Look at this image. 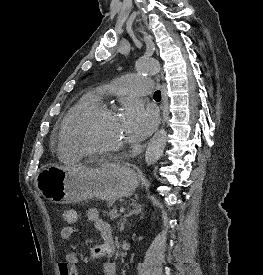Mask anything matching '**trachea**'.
Wrapping results in <instances>:
<instances>
[{"label": "trachea", "instance_id": "obj_1", "mask_svg": "<svg viewBox=\"0 0 263 275\" xmlns=\"http://www.w3.org/2000/svg\"><path fill=\"white\" fill-rule=\"evenodd\" d=\"M155 99H161V92L159 90H157L155 93H154V96H153Z\"/></svg>", "mask_w": 263, "mask_h": 275}]
</instances>
